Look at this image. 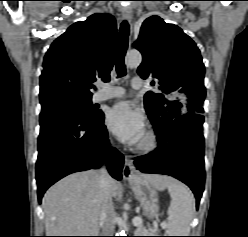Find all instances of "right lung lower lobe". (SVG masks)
<instances>
[{"instance_id": "98d812e1", "label": "right lung lower lobe", "mask_w": 248, "mask_h": 237, "mask_svg": "<svg viewBox=\"0 0 248 237\" xmlns=\"http://www.w3.org/2000/svg\"><path fill=\"white\" fill-rule=\"evenodd\" d=\"M102 112L93 116L70 111L40 113L36 181L38 200L45 191L64 176L101 166L105 149L109 146L108 133L103 125ZM123 155L112 148L107 157L111 176L122 178Z\"/></svg>"}]
</instances>
